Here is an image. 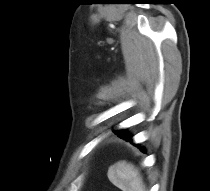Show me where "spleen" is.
<instances>
[{
	"label": "spleen",
	"mask_w": 210,
	"mask_h": 191,
	"mask_svg": "<svg viewBox=\"0 0 210 191\" xmlns=\"http://www.w3.org/2000/svg\"><path fill=\"white\" fill-rule=\"evenodd\" d=\"M110 182L122 191H146L142 177L134 165L120 161L108 170Z\"/></svg>",
	"instance_id": "obj_1"
}]
</instances>
